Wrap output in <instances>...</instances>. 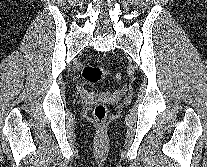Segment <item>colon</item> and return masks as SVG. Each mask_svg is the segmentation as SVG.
<instances>
[{
  "instance_id": "5ec220e1",
  "label": "colon",
  "mask_w": 207,
  "mask_h": 167,
  "mask_svg": "<svg viewBox=\"0 0 207 167\" xmlns=\"http://www.w3.org/2000/svg\"><path fill=\"white\" fill-rule=\"evenodd\" d=\"M109 74L110 71L107 68L96 65H86L82 69V77L90 84L102 82ZM107 114V107L104 104L100 103L95 106L93 115L98 122H104Z\"/></svg>"
}]
</instances>
